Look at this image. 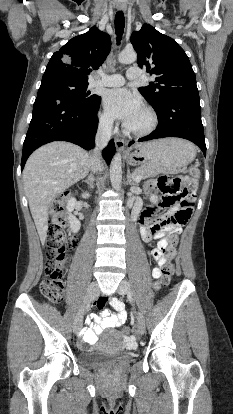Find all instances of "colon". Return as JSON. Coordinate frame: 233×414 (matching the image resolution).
Here are the masks:
<instances>
[{"mask_svg":"<svg viewBox=\"0 0 233 414\" xmlns=\"http://www.w3.org/2000/svg\"><path fill=\"white\" fill-rule=\"evenodd\" d=\"M199 169L196 166L190 168V177L183 179L180 177H171L161 175L149 184L150 188L159 189L163 198L160 206L169 207L178 205L176 218L182 223H186L192 215L197 182L199 178ZM154 211V209H153ZM51 220L46 235V267L45 277L40 283L41 293L54 302L63 300L64 297V276L66 271V261L68 252L73 246L74 241L67 237L65 232L66 216L64 212V200L56 199L50 206ZM177 238L171 236L167 239V245L163 254L172 259L176 253ZM174 275V267L167 263L162 271L160 282L154 284L156 289L168 285ZM123 332L129 335V327H124Z\"/></svg>","mask_w":233,"mask_h":414,"instance_id":"obj_1","label":"colon"}]
</instances>
